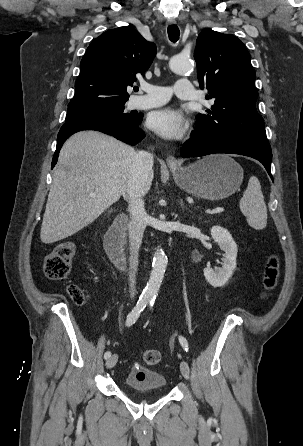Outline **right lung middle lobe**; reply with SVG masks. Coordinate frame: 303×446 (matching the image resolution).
Segmentation results:
<instances>
[{
  "instance_id": "dd1d6c3e",
  "label": "right lung middle lobe",
  "mask_w": 303,
  "mask_h": 446,
  "mask_svg": "<svg viewBox=\"0 0 303 446\" xmlns=\"http://www.w3.org/2000/svg\"><path fill=\"white\" fill-rule=\"evenodd\" d=\"M124 104L125 103L102 106L90 110H68V113L66 115V121L88 115L108 116L112 118L126 120L128 122L136 121L141 114L134 115V114L124 113L123 112Z\"/></svg>"
}]
</instances>
